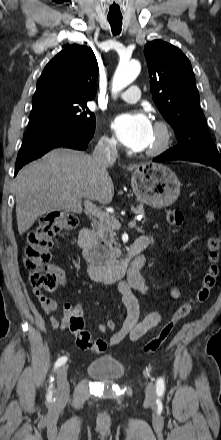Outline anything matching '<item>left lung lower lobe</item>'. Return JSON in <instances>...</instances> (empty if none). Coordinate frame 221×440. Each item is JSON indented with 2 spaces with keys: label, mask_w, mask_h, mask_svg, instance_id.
I'll return each mask as SVG.
<instances>
[{
  "label": "left lung lower lobe",
  "mask_w": 221,
  "mask_h": 440,
  "mask_svg": "<svg viewBox=\"0 0 221 440\" xmlns=\"http://www.w3.org/2000/svg\"><path fill=\"white\" fill-rule=\"evenodd\" d=\"M169 160H184V159L180 158L178 155H176L174 153L166 151L163 154H161L160 156L154 158L153 161L163 162V161H169ZM206 165H209V164H206ZM209 166H212V167L216 168L221 173V164H219V165L218 164H214V165H209Z\"/></svg>",
  "instance_id": "0a47b994"
}]
</instances>
